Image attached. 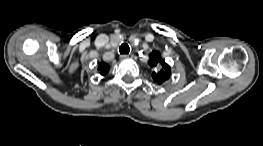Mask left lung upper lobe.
<instances>
[{"label": "left lung upper lobe", "mask_w": 263, "mask_h": 146, "mask_svg": "<svg viewBox=\"0 0 263 146\" xmlns=\"http://www.w3.org/2000/svg\"><path fill=\"white\" fill-rule=\"evenodd\" d=\"M148 65L155 69L152 73V78L156 83L162 84L170 78L171 68L165 63L159 52H154L150 55Z\"/></svg>", "instance_id": "obj_1"}]
</instances>
